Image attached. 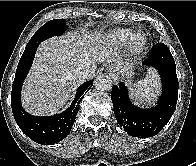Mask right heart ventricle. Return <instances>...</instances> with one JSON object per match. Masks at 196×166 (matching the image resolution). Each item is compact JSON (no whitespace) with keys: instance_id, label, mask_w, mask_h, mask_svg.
I'll return each mask as SVG.
<instances>
[{"instance_id":"e07e8e85","label":"right heart ventricle","mask_w":196,"mask_h":166,"mask_svg":"<svg viewBox=\"0 0 196 166\" xmlns=\"http://www.w3.org/2000/svg\"><path fill=\"white\" fill-rule=\"evenodd\" d=\"M132 34V31L128 29H121L113 34L114 41L120 46H128L129 45V38Z\"/></svg>"}]
</instances>
